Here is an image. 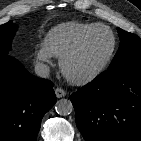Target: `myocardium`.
I'll return each mask as SVG.
<instances>
[{"mask_svg": "<svg viewBox=\"0 0 141 141\" xmlns=\"http://www.w3.org/2000/svg\"><path fill=\"white\" fill-rule=\"evenodd\" d=\"M97 29L107 30L112 38L111 48L104 60L93 70L82 75H73L68 70V63L79 52L85 40ZM117 47V38L114 31L107 25L95 24L86 30L77 41L60 57V69L65 78L74 85H86L98 78L110 64Z\"/></svg>", "mask_w": 141, "mask_h": 141, "instance_id": "1", "label": "myocardium"}]
</instances>
